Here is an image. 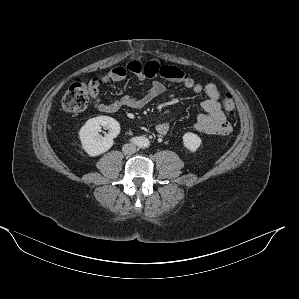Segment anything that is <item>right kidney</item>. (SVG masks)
<instances>
[{
  "label": "right kidney",
  "instance_id": "right-kidney-1",
  "mask_svg": "<svg viewBox=\"0 0 299 299\" xmlns=\"http://www.w3.org/2000/svg\"><path fill=\"white\" fill-rule=\"evenodd\" d=\"M109 129L104 137L99 134L101 128ZM120 133V124L108 116H98L89 119L79 131L82 148L89 156H98L108 151Z\"/></svg>",
  "mask_w": 299,
  "mask_h": 299
}]
</instances>
